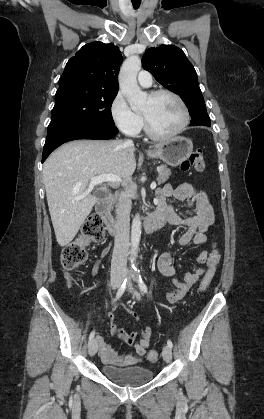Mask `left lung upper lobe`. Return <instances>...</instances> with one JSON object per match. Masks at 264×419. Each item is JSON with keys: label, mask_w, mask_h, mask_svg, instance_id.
I'll list each match as a JSON object with an SVG mask.
<instances>
[{"label": "left lung upper lobe", "mask_w": 264, "mask_h": 419, "mask_svg": "<svg viewBox=\"0 0 264 419\" xmlns=\"http://www.w3.org/2000/svg\"><path fill=\"white\" fill-rule=\"evenodd\" d=\"M143 68L168 90L178 94L190 116L208 117L197 74L185 53L173 45L150 48L143 56Z\"/></svg>", "instance_id": "1"}]
</instances>
